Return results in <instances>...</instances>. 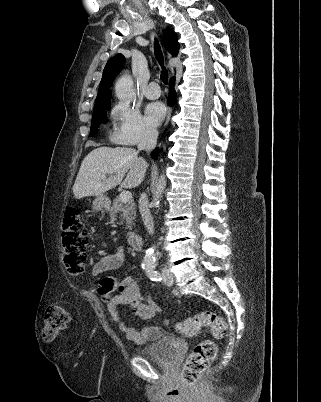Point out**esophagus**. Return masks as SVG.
<instances>
[{
  "instance_id": "esophagus-1",
  "label": "esophagus",
  "mask_w": 321,
  "mask_h": 402,
  "mask_svg": "<svg viewBox=\"0 0 321 402\" xmlns=\"http://www.w3.org/2000/svg\"><path fill=\"white\" fill-rule=\"evenodd\" d=\"M167 57L168 58L171 57L170 53H168V52H167ZM173 74H174V69L172 67H170V75L172 76ZM170 117H171V109L168 110L165 125H167L169 123Z\"/></svg>"
}]
</instances>
